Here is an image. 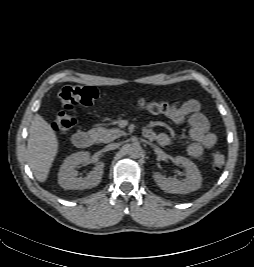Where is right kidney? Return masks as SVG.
Returning a JSON list of instances; mask_svg holds the SVG:
<instances>
[{"instance_id":"right-kidney-1","label":"right kidney","mask_w":254,"mask_h":267,"mask_svg":"<svg viewBox=\"0 0 254 267\" xmlns=\"http://www.w3.org/2000/svg\"><path fill=\"white\" fill-rule=\"evenodd\" d=\"M90 160L89 152H77L68 156L61 165L58 173V183L66 190L90 189L96 187L102 179L104 163L98 162L93 171L85 178H78L75 170L78 165Z\"/></svg>"}]
</instances>
